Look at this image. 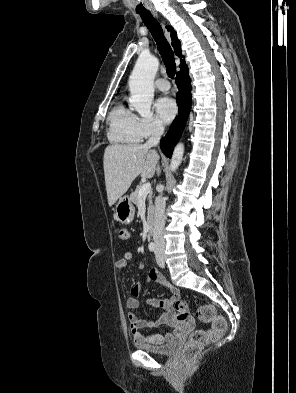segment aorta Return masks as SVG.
<instances>
[{"mask_svg": "<svg viewBox=\"0 0 296 393\" xmlns=\"http://www.w3.org/2000/svg\"><path fill=\"white\" fill-rule=\"evenodd\" d=\"M159 67V60L146 53L140 54L129 77L131 105L142 117L151 116L154 98V79ZM184 145L178 143L174 148L170 169L175 172L183 160Z\"/></svg>", "mask_w": 296, "mask_h": 393, "instance_id": "1", "label": "aorta"}]
</instances>
